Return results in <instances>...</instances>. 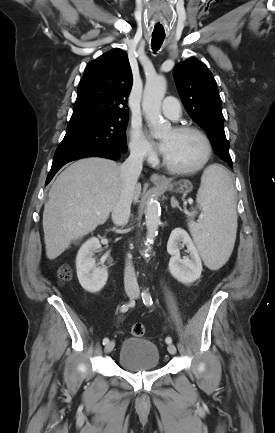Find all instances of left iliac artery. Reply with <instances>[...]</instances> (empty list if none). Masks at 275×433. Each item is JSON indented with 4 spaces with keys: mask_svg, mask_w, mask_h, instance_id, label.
<instances>
[{
    "mask_svg": "<svg viewBox=\"0 0 275 433\" xmlns=\"http://www.w3.org/2000/svg\"><path fill=\"white\" fill-rule=\"evenodd\" d=\"M142 299H143V303L146 306H151L153 304V301H152L150 293L148 292V289H144L143 290V292H142ZM165 341H166L167 344L172 343L171 337H167Z\"/></svg>",
    "mask_w": 275,
    "mask_h": 433,
    "instance_id": "left-iliac-artery-1",
    "label": "left iliac artery"
}]
</instances>
